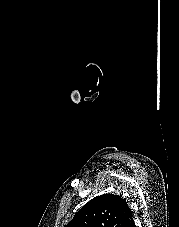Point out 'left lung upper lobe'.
<instances>
[{
    "label": "left lung upper lobe",
    "instance_id": "obj_1",
    "mask_svg": "<svg viewBox=\"0 0 179 227\" xmlns=\"http://www.w3.org/2000/svg\"><path fill=\"white\" fill-rule=\"evenodd\" d=\"M65 227H135L127 202L118 195L95 197Z\"/></svg>",
    "mask_w": 179,
    "mask_h": 227
}]
</instances>
